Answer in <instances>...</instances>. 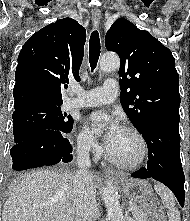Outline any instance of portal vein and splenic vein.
<instances>
[{"label": "portal vein and splenic vein", "mask_w": 190, "mask_h": 221, "mask_svg": "<svg viewBox=\"0 0 190 221\" xmlns=\"http://www.w3.org/2000/svg\"><path fill=\"white\" fill-rule=\"evenodd\" d=\"M135 209H136V206H134V205H130L128 207V210H130V211H134Z\"/></svg>", "instance_id": "portal-vein-and-splenic-vein-1"}]
</instances>
